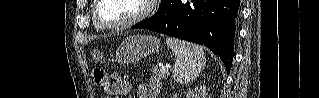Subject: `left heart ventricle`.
I'll return each instance as SVG.
<instances>
[{"mask_svg":"<svg viewBox=\"0 0 319 98\" xmlns=\"http://www.w3.org/2000/svg\"><path fill=\"white\" fill-rule=\"evenodd\" d=\"M141 9V0H102L99 15L106 23H116L135 16Z\"/></svg>","mask_w":319,"mask_h":98,"instance_id":"obj_1","label":"left heart ventricle"}]
</instances>
